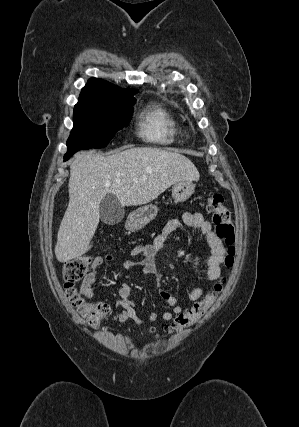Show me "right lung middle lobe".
<instances>
[{"label":"right lung middle lobe","instance_id":"dd1d6c3e","mask_svg":"<svg viewBox=\"0 0 299 427\" xmlns=\"http://www.w3.org/2000/svg\"><path fill=\"white\" fill-rule=\"evenodd\" d=\"M134 98L102 102H78L74 107V127L67 140V153L102 148L131 119Z\"/></svg>","mask_w":299,"mask_h":427}]
</instances>
